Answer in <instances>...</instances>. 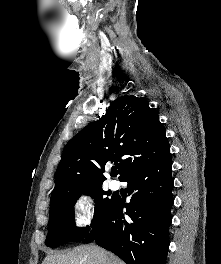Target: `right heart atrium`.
<instances>
[{
	"label": "right heart atrium",
	"mask_w": 221,
	"mask_h": 264,
	"mask_svg": "<svg viewBox=\"0 0 221 264\" xmlns=\"http://www.w3.org/2000/svg\"><path fill=\"white\" fill-rule=\"evenodd\" d=\"M72 213L75 229H85L93 222L97 213L95 198L89 193L80 194L73 202Z\"/></svg>",
	"instance_id": "1"
}]
</instances>
